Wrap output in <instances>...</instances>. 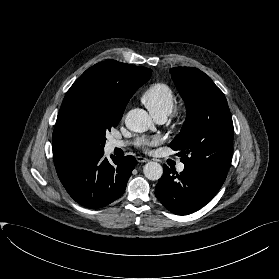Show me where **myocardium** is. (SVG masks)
Instances as JSON below:
<instances>
[{
	"instance_id": "obj_1",
	"label": "myocardium",
	"mask_w": 279,
	"mask_h": 279,
	"mask_svg": "<svg viewBox=\"0 0 279 279\" xmlns=\"http://www.w3.org/2000/svg\"><path fill=\"white\" fill-rule=\"evenodd\" d=\"M185 112H186V110H185L184 108H180V109L178 110V116H179V117H183L184 114H185Z\"/></svg>"
}]
</instances>
